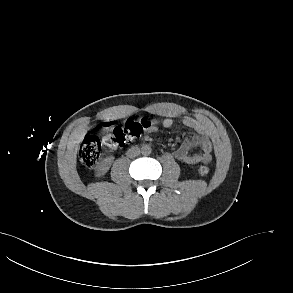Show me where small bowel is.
<instances>
[{"mask_svg":"<svg viewBox=\"0 0 293 293\" xmlns=\"http://www.w3.org/2000/svg\"><path fill=\"white\" fill-rule=\"evenodd\" d=\"M184 126L194 131V134L184 139L181 145L175 149L174 157L187 164H205L212 160V143L207 136L206 126L203 122L185 117L182 120ZM164 128H170L173 125V120L165 118L162 120ZM193 147H199L200 152L190 154Z\"/></svg>","mask_w":293,"mask_h":293,"instance_id":"c3829d8e","label":"small bowel"}]
</instances>
